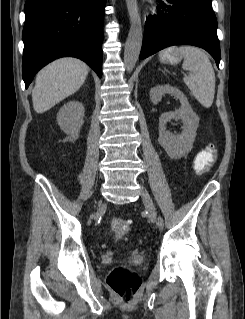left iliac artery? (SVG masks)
Returning <instances> with one entry per match:
<instances>
[{
  "label": "left iliac artery",
  "instance_id": "obj_1",
  "mask_svg": "<svg viewBox=\"0 0 245 319\" xmlns=\"http://www.w3.org/2000/svg\"><path fill=\"white\" fill-rule=\"evenodd\" d=\"M158 225L160 228L163 226V220L160 217L158 218Z\"/></svg>",
  "mask_w": 245,
  "mask_h": 319
}]
</instances>
